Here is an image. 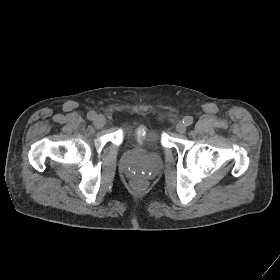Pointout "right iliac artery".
Instances as JSON below:
<instances>
[{"mask_svg": "<svg viewBox=\"0 0 280 280\" xmlns=\"http://www.w3.org/2000/svg\"><path fill=\"white\" fill-rule=\"evenodd\" d=\"M97 117V114L94 112V111H90L88 114H87V118L89 120H95Z\"/></svg>", "mask_w": 280, "mask_h": 280, "instance_id": "obj_1", "label": "right iliac artery"}]
</instances>
